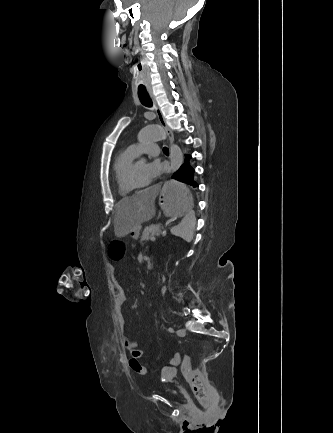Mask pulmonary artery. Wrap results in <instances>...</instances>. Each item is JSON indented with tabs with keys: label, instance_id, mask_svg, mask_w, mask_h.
I'll list each match as a JSON object with an SVG mask.
<instances>
[{
	"label": "pulmonary artery",
	"instance_id": "e3ab8cb5",
	"mask_svg": "<svg viewBox=\"0 0 333 433\" xmlns=\"http://www.w3.org/2000/svg\"><path fill=\"white\" fill-rule=\"evenodd\" d=\"M135 155L139 153H148L151 155H157L160 152L158 145L153 142H148L144 145L132 144L128 147Z\"/></svg>",
	"mask_w": 333,
	"mask_h": 433
}]
</instances>
